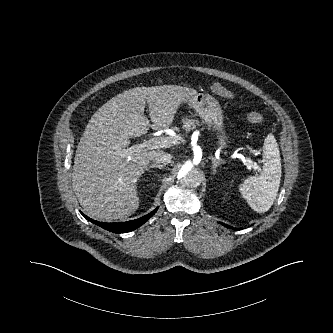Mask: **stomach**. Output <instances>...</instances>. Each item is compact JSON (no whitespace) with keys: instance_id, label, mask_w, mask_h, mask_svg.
<instances>
[{"instance_id":"0dacf381","label":"stomach","mask_w":333,"mask_h":333,"mask_svg":"<svg viewBox=\"0 0 333 333\" xmlns=\"http://www.w3.org/2000/svg\"><path fill=\"white\" fill-rule=\"evenodd\" d=\"M188 105L195 109L209 128L217 131L220 147H226L229 137L223 124V112L219 102L209 94L196 93L187 99Z\"/></svg>"}]
</instances>
